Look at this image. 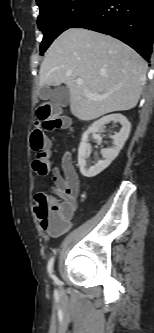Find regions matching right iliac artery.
<instances>
[{
  "mask_svg": "<svg viewBox=\"0 0 154 333\" xmlns=\"http://www.w3.org/2000/svg\"><path fill=\"white\" fill-rule=\"evenodd\" d=\"M53 263H54V257H52L49 262H48V266H47V269H48V272L50 274V276L55 280L57 281L58 279L56 278L55 275H53Z\"/></svg>",
  "mask_w": 154,
  "mask_h": 333,
  "instance_id": "82829eb1",
  "label": "right iliac artery"
}]
</instances>
